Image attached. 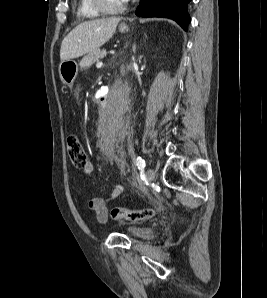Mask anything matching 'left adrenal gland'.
<instances>
[{"mask_svg":"<svg viewBox=\"0 0 267 298\" xmlns=\"http://www.w3.org/2000/svg\"><path fill=\"white\" fill-rule=\"evenodd\" d=\"M135 49H136V47H135V45L133 46V51H135Z\"/></svg>","mask_w":267,"mask_h":298,"instance_id":"1","label":"left adrenal gland"}]
</instances>
